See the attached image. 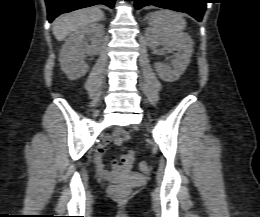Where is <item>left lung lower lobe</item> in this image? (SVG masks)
<instances>
[{"label": "left lung lower lobe", "instance_id": "0a47b994", "mask_svg": "<svg viewBox=\"0 0 260 217\" xmlns=\"http://www.w3.org/2000/svg\"><path fill=\"white\" fill-rule=\"evenodd\" d=\"M135 2L137 10L144 6L154 5L190 14L196 20L201 21L206 9L207 0H129Z\"/></svg>", "mask_w": 260, "mask_h": 217}]
</instances>
